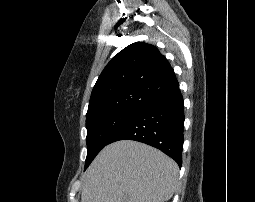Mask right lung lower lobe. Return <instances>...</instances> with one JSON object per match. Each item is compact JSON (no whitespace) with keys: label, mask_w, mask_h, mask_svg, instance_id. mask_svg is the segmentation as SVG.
Listing matches in <instances>:
<instances>
[{"label":"right lung lower lobe","mask_w":255,"mask_h":202,"mask_svg":"<svg viewBox=\"0 0 255 202\" xmlns=\"http://www.w3.org/2000/svg\"><path fill=\"white\" fill-rule=\"evenodd\" d=\"M184 128L183 97L179 89L162 95L141 107L110 138L135 140L160 149L182 165Z\"/></svg>","instance_id":"98d812e1"}]
</instances>
